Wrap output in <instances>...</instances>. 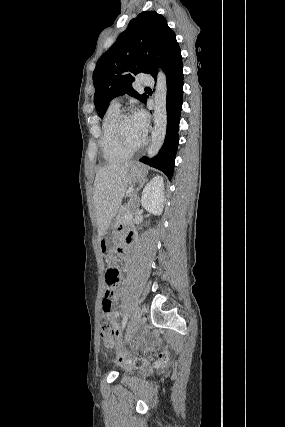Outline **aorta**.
I'll list each match as a JSON object with an SVG mask.
<instances>
[{
    "instance_id": "762f6f07",
    "label": "aorta",
    "mask_w": 285,
    "mask_h": 427,
    "mask_svg": "<svg viewBox=\"0 0 285 427\" xmlns=\"http://www.w3.org/2000/svg\"><path fill=\"white\" fill-rule=\"evenodd\" d=\"M167 80L165 73L159 69L154 93V128L152 131L151 144L147 150L149 158H153L160 151L166 136L167 129Z\"/></svg>"
}]
</instances>
